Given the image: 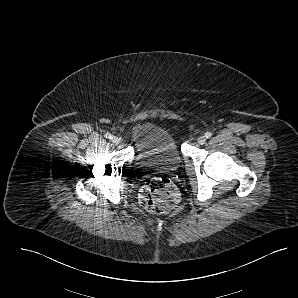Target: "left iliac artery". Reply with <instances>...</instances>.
<instances>
[{
  "label": "left iliac artery",
  "mask_w": 298,
  "mask_h": 298,
  "mask_svg": "<svg viewBox=\"0 0 298 298\" xmlns=\"http://www.w3.org/2000/svg\"><path fill=\"white\" fill-rule=\"evenodd\" d=\"M211 136H212V133H211V132H206V133H205V137H206V138H210Z\"/></svg>",
  "instance_id": "left-iliac-artery-1"
}]
</instances>
